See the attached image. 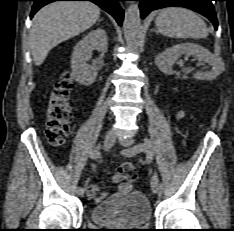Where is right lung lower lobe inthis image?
Instances as JSON below:
<instances>
[{"instance_id": "98d812e1", "label": "right lung lower lobe", "mask_w": 234, "mask_h": 231, "mask_svg": "<svg viewBox=\"0 0 234 231\" xmlns=\"http://www.w3.org/2000/svg\"><path fill=\"white\" fill-rule=\"evenodd\" d=\"M34 5L32 7L31 17L43 6L54 1H91L102 9L111 14L119 25H122L124 11L119 5V1L122 0H33Z\"/></svg>"}]
</instances>
